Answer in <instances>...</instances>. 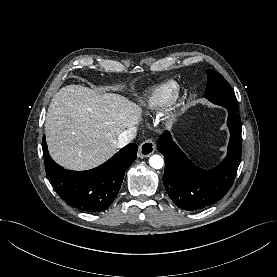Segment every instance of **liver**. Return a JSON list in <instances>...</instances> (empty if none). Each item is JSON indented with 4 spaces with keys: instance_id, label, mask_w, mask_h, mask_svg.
I'll return each instance as SVG.
<instances>
[{
    "instance_id": "obj_1",
    "label": "liver",
    "mask_w": 277,
    "mask_h": 277,
    "mask_svg": "<svg viewBox=\"0 0 277 277\" xmlns=\"http://www.w3.org/2000/svg\"><path fill=\"white\" fill-rule=\"evenodd\" d=\"M141 113V107L121 95L65 86L53 96L46 115L49 152L67 169L96 167L117 152L118 136L135 128Z\"/></svg>"
}]
</instances>
